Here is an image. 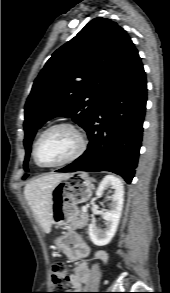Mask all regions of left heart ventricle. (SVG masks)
<instances>
[{
    "label": "left heart ventricle",
    "mask_w": 170,
    "mask_h": 293,
    "mask_svg": "<svg viewBox=\"0 0 170 293\" xmlns=\"http://www.w3.org/2000/svg\"><path fill=\"white\" fill-rule=\"evenodd\" d=\"M79 147L77 135L68 128L48 132L37 149L38 159L44 164H54L72 156Z\"/></svg>",
    "instance_id": "left-heart-ventricle-1"
}]
</instances>
